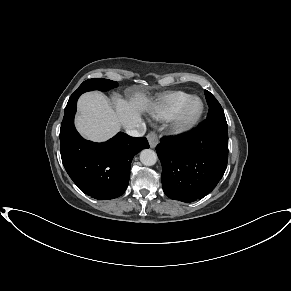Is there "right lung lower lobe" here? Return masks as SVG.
Segmentation results:
<instances>
[{"label":"right lung lower lobe","instance_id":"1","mask_svg":"<svg viewBox=\"0 0 291 291\" xmlns=\"http://www.w3.org/2000/svg\"><path fill=\"white\" fill-rule=\"evenodd\" d=\"M79 96L71 95L60 129V152L63 165L78 188L99 200L121 196L129 182L133 157L149 148L145 137L134 138L119 132L104 143L83 139L74 126Z\"/></svg>","mask_w":291,"mask_h":291}]
</instances>
